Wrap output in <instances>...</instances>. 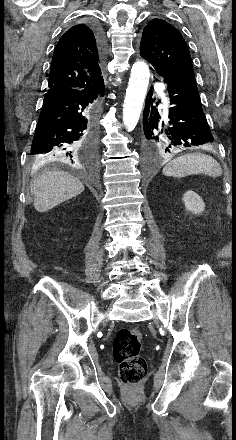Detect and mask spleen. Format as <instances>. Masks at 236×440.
<instances>
[{"label": "spleen", "instance_id": "spleen-1", "mask_svg": "<svg viewBox=\"0 0 236 440\" xmlns=\"http://www.w3.org/2000/svg\"><path fill=\"white\" fill-rule=\"evenodd\" d=\"M165 176L182 178L203 173L211 177L222 175L220 164L211 156L203 153H189L167 163L162 170Z\"/></svg>", "mask_w": 236, "mask_h": 440}]
</instances>
